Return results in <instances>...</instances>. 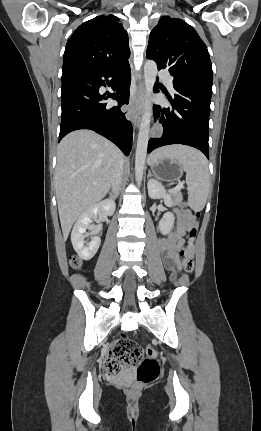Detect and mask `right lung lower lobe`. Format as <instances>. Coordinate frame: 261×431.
Masks as SVG:
<instances>
[{"label":"right lung lower lobe","instance_id":"right-lung-lower-lobe-1","mask_svg":"<svg viewBox=\"0 0 261 431\" xmlns=\"http://www.w3.org/2000/svg\"><path fill=\"white\" fill-rule=\"evenodd\" d=\"M108 78H112L114 93L101 95L99 88L105 86ZM130 81L129 63L114 68H76L63 71L59 141L74 130L90 129L103 135L129 155L132 125L120 107L129 102ZM108 98L116 100L119 105L108 107L103 102Z\"/></svg>","mask_w":261,"mask_h":431}]
</instances>
